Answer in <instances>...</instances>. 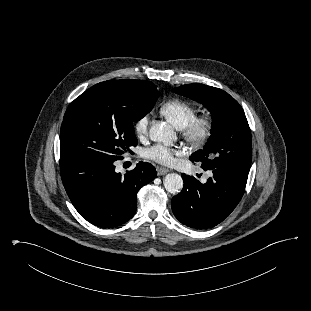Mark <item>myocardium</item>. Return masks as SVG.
I'll return each mask as SVG.
<instances>
[{
  "mask_svg": "<svg viewBox=\"0 0 311 311\" xmlns=\"http://www.w3.org/2000/svg\"><path fill=\"white\" fill-rule=\"evenodd\" d=\"M214 125L215 119L212 114H201L192 118L188 124L181 129V135L187 143L193 146H202L211 137Z\"/></svg>",
  "mask_w": 311,
  "mask_h": 311,
  "instance_id": "obj_1",
  "label": "myocardium"
}]
</instances>
